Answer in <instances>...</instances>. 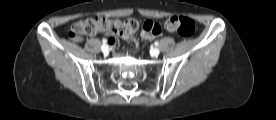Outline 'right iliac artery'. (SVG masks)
<instances>
[{
  "instance_id": "1",
  "label": "right iliac artery",
  "mask_w": 276,
  "mask_h": 120,
  "mask_svg": "<svg viewBox=\"0 0 276 120\" xmlns=\"http://www.w3.org/2000/svg\"><path fill=\"white\" fill-rule=\"evenodd\" d=\"M102 42L105 45L108 42V40L107 39H103Z\"/></svg>"
}]
</instances>
